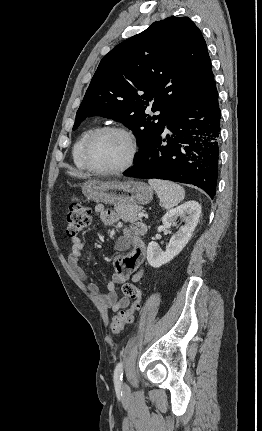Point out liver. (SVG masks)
<instances>
[{
	"label": "liver",
	"mask_w": 262,
	"mask_h": 431,
	"mask_svg": "<svg viewBox=\"0 0 262 431\" xmlns=\"http://www.w3.org/2000/svg\"><path fill=\"white\" fill-rule=\"evenodd\" d=\"M67 173L71 176L78 177V178H87L88 177V175H86V174L78 173V172H74V171H68Z\"/></svg>",
	"instance_id": "obj_1"
}]
</instances>
